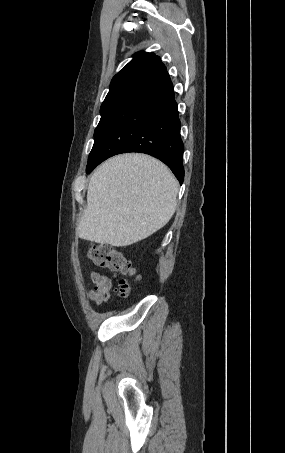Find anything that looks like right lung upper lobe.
Returning a JSON list of instances; mask_svg holds the SVG:
<instances>
[{"mask_svg": "<svg viewBox=\"0 0 285 453\" xmlns=\"http://www.w3.org/2000/svg\"><path fill=\"white\" fill-rule=\"evenodd\" d=\"M166 71L159 56L154 53L138 52L133 59L117 73L110 84V90L104 100L131 96L151 79Z\"/></svg>", "mask_w": 285, "mask_h": 453, "instance_id": "1", "label": "right lung upper lobe"}]
</instances>
